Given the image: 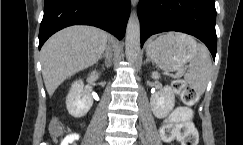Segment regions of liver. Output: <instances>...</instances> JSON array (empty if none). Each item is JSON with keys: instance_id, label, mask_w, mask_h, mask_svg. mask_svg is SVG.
Instances as JSON below:
<instances>
[{"instance_id": "6515ba94", "label": "liver", "mask_w": 243, "mask_h": 145, "mask_svg": "<svg viewBox=\"0 0 243 145\" xmlns=\"http://www.w3.org/2000/svg\"><path fill=\"white\" fill-rule=\"evenodd\" d=\"M101 29L75 25L50 37L41 49L42 76L49 96L75 73L94 65L107 46Z\"/></svg>"}]
</instances>
